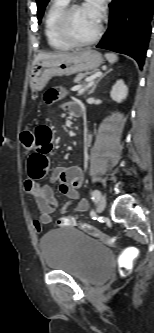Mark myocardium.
<instances>
[{
    "mask_svg": "<svg viewBox=\"0 0 154 333\" xmlns=\"http://www.w3.org/2000/svg\"><path fill=\"white\" fill-rule=\"evenodd\" d=\"M81 6H82V4L79 2H76V1L69 3L62 10V12L59 15L58 21H57V31H58L60 37L67 43L71 44L72 46H88V45L94 44L95 42H97L100 39V37L102 36V33H103V29H104L102 20H100L98 29L93 37L86 39V40H81V39H78L77 37H75L70 29V17H71L72 12L76 8L81 7Z\"/></svg>",
    "mask_w": 154,
    "mask_h": 333,
    "instance_id": "1",
    "label": "myocardium"
}]
</instances>
